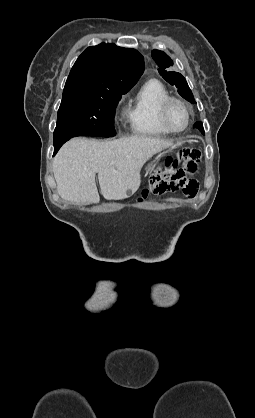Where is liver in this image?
<instances>
[{
	"mask_svg": "<svg viewBox=\"0 0 255 418\" xmlns=\"http://www.w3.org/2000/svg\"><path fill=\"white\" fill-rule=\"evenodd\" d=\"M172 145L173 141L148 136L113 141L72 139L62 146L53 161L57 191L65 201L99 203L95 183L98 173L105 199H126L139 189L140 171L146 161Z\"/></svg>",
	"mask_w": 255,
	"mask_h": 418,
	"instance_id": "6515ba94",
	"label": "liver"
}]
</instances>
